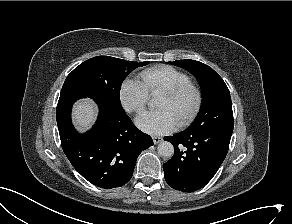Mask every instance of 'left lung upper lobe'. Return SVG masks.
Masks as SVG:
<instances>
[{"label": "left lung upper lobe", "instance_id": "5c2ea615", "mask_svg": "<svg viewBox=\"0 0 292 224\" xmlns=\"http://www.w3.org/2000/svg\"><path fill=\"white\" fill-rule=\"evenodd\" d=\"M169 63L188 70L195 76L201 87L200 111L186 130L201 131L215 124L233 122L229 90L212 68L195 60H177Z\"/></svg>", "mask_w": 292, "mask_h": 224}]
</instances>
